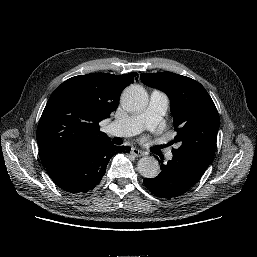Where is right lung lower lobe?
Returning a JSON list of instances; mask_svg holds the SVG:
<instances>
[{"mask_svg": "<svg viewBox=\"0 0 257 257\" xmlns=\"http://www.w3.org/2000/svg\"><path fill=\"white\" fill-rule=\"evenodd\" d=\"M130 149L127 146L117 147L108 140L71 150L44 167L54 183L63 190L85 193L99 184L113 155L129 152Z\"/></svg>", "mask_w": 257, "mask_h": 257, "instance_id": "1", "label": "right lung lower lobe"}]
</instances>
